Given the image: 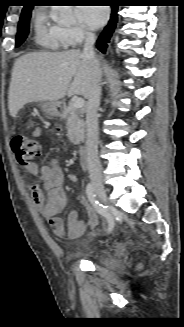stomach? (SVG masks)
Wrapping results in <instances>:
<instances>
[{
    "mask_svg": "<svg viewBox=\"0 0 184 327\" xmlns=\"http://www.w3.org/2000/svg\"><path fill=\"white\" fill-rule=\"evenodd\" d=\"M41 107L43 112L48 116L55 117L60 115V104L58 102H44Z\"/></svg>",
    "mask_w": 184,
    "mask_h": 327,
    "instance_id": "1",
    "label": "stomach"
}]
</instances>
